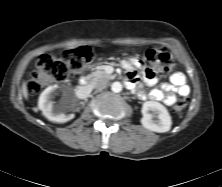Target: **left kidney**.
Instances as JSON below:
<instances>
[{
    "mask_svg": "<svg viewBox=\"0 0 222 187\" xmlns=\"http://www.w3.org/2000/svg\"><path fill=\"white\" fill-rule=\"evenodd\" d=\"M142 115L141 124L148 130L164 133L171 128V116L166 107L159 102H144L142 106Z\"/></svg>",
    "mask_w": 222,
    "mask_h": 187,
    "instance_id": "obj_1",
    "label": "left kidney"
}]
</instances>
